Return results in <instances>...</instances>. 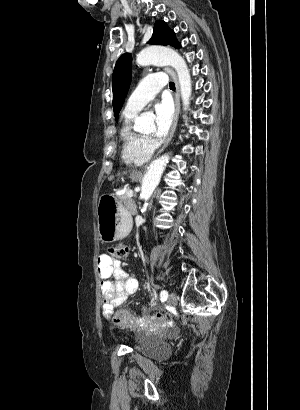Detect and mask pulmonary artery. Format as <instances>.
Instances as JSON below:
<instances>
[{
  "instance_id": "pulmonary-artery-1",
  "label": "pulmonary artery",
  "mask_w": 300,
  "mask_h": 410,
  "mask_svg": "<svg viewBox=\"0 0 300 410\" xmlns=\"http://www.w3.org/2000/svg\"><path fill=\"white\" fill-rule=\"evenodd\" d=\"M166 84L167 78L164 73H155L145 77L141 80L138 88L128 98L125 111H140Z\"/></svg>"
}]
</instances>
